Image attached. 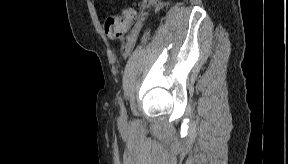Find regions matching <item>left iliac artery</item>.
Masks as SVG:
<instances>
[{
    "mask_svg": "<svg viewBox=\"0 0 288 164\" xmlns=\"http://www.w3.org/2000/svg\"><path fill=\"white\" fill-rule=\"evenodd\" d=\"M118 104L120 106V110H121V117L123 119H126L127 118V114H126V110H125V107H124V104H123V100L121 97H119L118 99Z\"/></svg>",
    "mask_w": 288,
    "mask_h": 164,
    "instance_id": "44dca946",
    "label": "left iliac artery"
}]
</instances>
